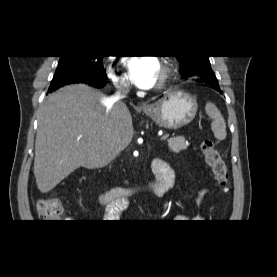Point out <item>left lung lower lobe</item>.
I'll return each mask as SVG.
<instances>
[{
    "mask_svg": "<svg viewBox=\"0 0 277 277\" xmlns=\"http://www.w3.org/2000/svg\"><path fill=\"white\" fill-rule=\"evenodd\" d=\"M196 81H200V82H205L207 84H209V86L213 89H215L216 91L222 93V91L220 90L217 78H212V77H207V78H199Z\"/></svg>",
    "mask_w": 277,
    "mask_h": 277,
    "instance_id": "obj_1",
    "label": "left lung lower lobe"
}]
</instances>
